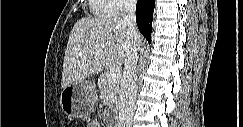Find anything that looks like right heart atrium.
I'll list each match as a JSON object with an SVG mask.
<instances>
[{"label":"right heart atrium","instance_id":"obj_1","mask_svg":"<svg viewBox=\"0 0 243 127\" xmlns=\"http://www.w3.org/2000/svg\"><path fill=\"white\" fill-rule=\"evenodd\" d=\"M114 3L113 15H123L133 7V0H111Z\"/></svg>","mask_w":243,"mask_h":127}]
</instances>
